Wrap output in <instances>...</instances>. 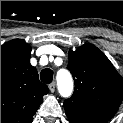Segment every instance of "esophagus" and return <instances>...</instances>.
<instances>
[{"mask_svg": "<svg viewBox=\"0 0 123 123\" xmlns=\"http://www.w3.org/2000/svg\"><path fill=\"white\" fill-rule=\"evenodd\" d=\"M48 87H49V90L51 92H54L55 91V83L54 82L50 83Z\"/></svg>", "mask_w": 123, "mask_h": 123, "instance_id": "obj_1", "label": "esophagus"}]
</instances>
